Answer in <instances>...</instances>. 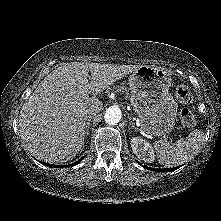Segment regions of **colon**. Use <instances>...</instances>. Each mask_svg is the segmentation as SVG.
<instances>
[{
	"instance_id": "obj_1",
	"label": "colon",
	"mask_w": 221,
	"mask_h": 221,
	"mask_svg": "<svg viewBox=\"0 0 221 221\" xmlns=\"http://www.w3.org/2000/svg\"><path fill=\"white\" fill-rule=\"evenodd\" d=\"M175 96L182 104H188L192 101L190 89L185 84H178L175 87ZM180 118L182 124L186 127H193L196 124L195 115L187 108L181 111Z\"/></svg>"
}]
</instances>
